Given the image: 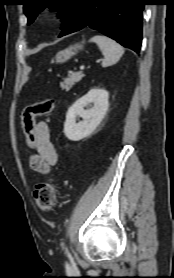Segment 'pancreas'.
<instances>
[{
	"label": "pancreas",
	"mask_w": 174,
	"mask_h": 278,
	"mask_svg": "<svg viewBox=\"0 0 174 278\" xmlns=\"http://www.w3.org/2000/svg\"><path fill=\"white\" fill-rule=\"evenodd\" d=\"M84 77V74L81 72L73 73L64 79L61 84V88L64 90H69L75 83L79 82Z\"/></svg>",
	"instance_id": "pancreas-1"
}]
</instances>
